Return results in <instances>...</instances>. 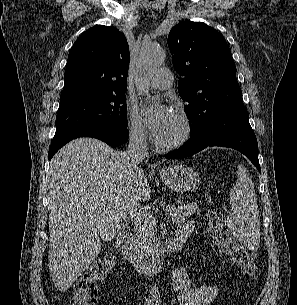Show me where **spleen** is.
<instances>
[{
	"mask_svg": "<svg viewBox=\"0 0 297 305\" xmlns=\"http://www.w3.org/2000/svg\"><path fill=\"white\" fill-rule=\"evenodd\" d=\"M231 212L226 223L236 238L248 248L260 242V216L252 179L243 164L237 167V181L230 190Z\"/></svg>",
	"mask_w": 297,
	"mask_h": 305,
	"instance_id": "3e777b00",
	"label": "spleen"
}]
</instances>
